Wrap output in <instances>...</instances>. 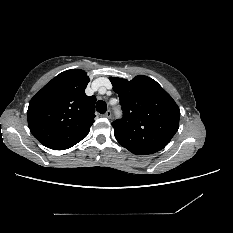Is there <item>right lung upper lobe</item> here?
<instances>
[{
  "label": "right lung upper lobe",
  "instance_id": "cb5924a9",
  "mask_svg": "<svg viewBox=\"0 0 233 233\" xmlns=\"http://www.w3.org/2000/svg\"><path fill=\"white\" fill-rule=\"evenodd\" d=\"M86 72L60 73L30 101L27 118L33 136L44 146L68 149L84 139L94 122L95 96H87Z\"/></svg>",
  "mask_w": 233,
  "mask_h": 233
}]
</instances>
